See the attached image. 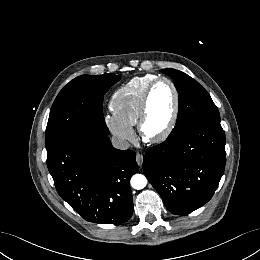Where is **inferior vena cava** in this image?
Segmentation results:
<instances>
[{"label": "inferior vena cava", "instance_id": "1", "mask_svg": "<svg viewBox=\"0 0 260 260\" xmlns=\"http://www.w3.org/2000/svg\"><path fill=\"white\" fill-rule=\"evenodd\" d=\"M111 142L113 147L116 149L126 150L130 147V143L127 140L120 137H112Z\"/></svg>", "mask_w": 260, "mask_h": 260}]
</instances>
